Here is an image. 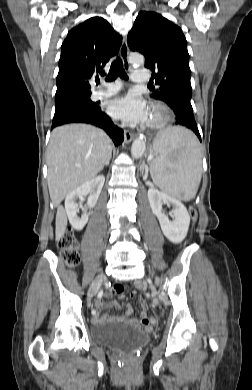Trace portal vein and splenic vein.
Returning a JSON list of instances; mask_svg holds the SVG:
<instances>
[{
    "label": "portal vein and splenic vein",
    "mask_w": 252,
    "mask_h": 390,
    "mask_svg": "<svg viewBox=\"0 0 252 390\" xmlns=\"http://www.w3.org/2000/svg\"><path fill=\"white\" fill-rule=\"evenodd\" d=\"M148 159H149V160H151V159H152V157H149Z\"/></svg>",
    "instance_id": "obj_1"
}]
</instances>
